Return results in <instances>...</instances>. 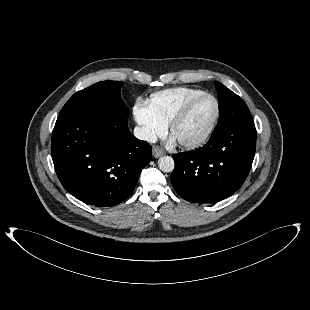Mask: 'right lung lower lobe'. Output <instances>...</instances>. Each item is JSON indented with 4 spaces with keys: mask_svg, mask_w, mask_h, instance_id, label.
I'll list each match as a JSON object with an SVG mask.
<instances>
[{
    "mask_svg": "<svg viewBox=\"0 0 310 310\" xmlns=\"http://www.w3.org/2000/svg\"><path fill=\"white\" fill-rule=\"evenodd\" d=\"M51 154L70 194L87 204L114 206L133 192L152 158V147L130 133L126 117L82 109L59 115Z\"/></svg>",
    "mask_w": 310,
    "mask_h": 310,
    "instance_id": "obj_1",
    "label": "right lung lower lobe"
}]
</instances>
